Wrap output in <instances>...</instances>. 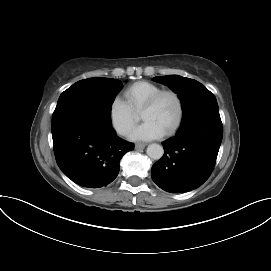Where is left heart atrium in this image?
I'll use <instances>...</instances> for the list:
<instances>
[{"label": "left heart atrium", "instance_id": "1", "mask_svg": "<svg viewBox=\"0 0 271 271\" xmlns=\"http://www.w3.org/2000/svg\"><path fill=\"white\" fill-rule=\"evenodd\" d=\"M165 131L151 120H145L141 125L135 128L131 134V140H154L161 138Z\"/></svg>", "mask_w": 271, "mask_h": 271}]
</instances>
